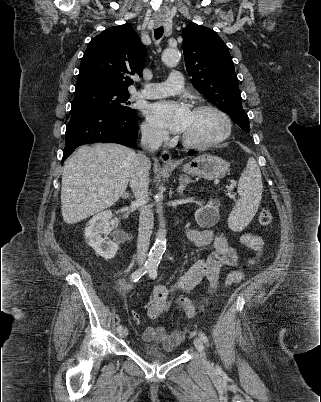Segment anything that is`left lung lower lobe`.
<instances>
[{
	"label": "left lung lower lobe",
	"instance_id": "left-lung-lower-lobe-1",
	"mask_svg": "<svg viewBox=\"0 0 321 402\" xmlns=\"http://www.w3.org/2000/svg\"><path fill=\"white\" fill-rule=\"evenodd\" d=\"M195 153H196L195 151H190V152H188L189 155H193V154H195Z\"/></svg>",
	"mask_w": 321,
	"mask_h": 402
}]
</instances>
